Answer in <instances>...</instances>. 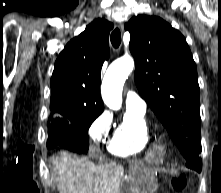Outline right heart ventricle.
Wrapping results in <instances>:
<instances>
[{
	"mask_svg": "<svg viewBox=\"0 0 221 193\" xmlns=\"http://www.w3.org/2000/svg\"><path fill=\"white\" fill-rule=\"evenodd\" d=\"M151 141L148 120L144 112L127 109L122 122L112 134L107 149L118 157L141 154Z\"/></svg>",
	"mask_w": 221,
	"mask_h": 193,
	"instance_id": "1",
	"label": "right heart ventricle"
}]
</instances>
